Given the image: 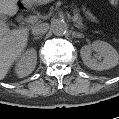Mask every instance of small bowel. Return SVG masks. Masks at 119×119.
Wrapping results in <instances>:
<instances>
[{"label": "small bowel", "mask_w": 119, "mask_h": 119, "mask_svg": "<svg viewBox=\"0 0 119 119\" xmlns=\"http://www.w3.org/2000/svg\"><path fill=\"white\" fill-rule=\"evenodd\" d=\"M86 15H87V17L89 18V19H91V20H94L95 19V17H94V15L89 11V10H86Z\"/></svg>", "instance_id": "1"}]
</instances>
